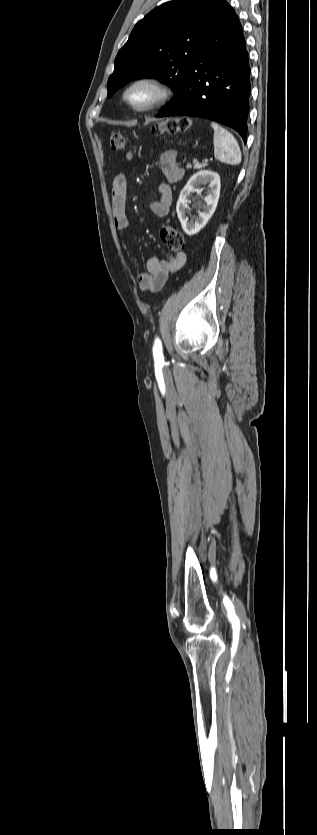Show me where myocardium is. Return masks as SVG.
<instances>
[{"label": "myocardium", "mask_w": 317, "mask_h": 835, "mask_svg": "<svg viewBox=\"0 0 317 835\" xmlns=\"http://www.w3.org/2000/svg\"><path fill=\"white\" fill-rule=\"evenodd\" d=\"M136 89H143L147 91V98L141 102L132 100L131 94ZM169 96L170 89L168 86L160 79L151 76H143L133 79L124 87L122 91V100L135 112H147L153 110L165 102Z\"/></svg>", "instance_id": "f54148a6"}]
</instances>
